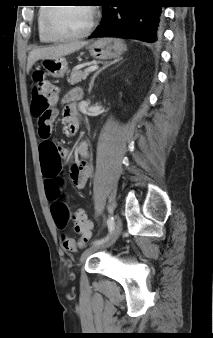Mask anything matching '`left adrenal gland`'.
I'll return each instance as SVG.
<instances>
[{"instance_id":"obj_1","label":"left adrenal gland","mask_w":213,"mask_h":338,"mask_svg":"<svg viewBox=\"0 0 213 338\" xmlns=\"http://www.w3.org/2000/svg\"><path fill=\"white\" fill-rule=\"evenodd\" d=\"M120 60H122V58H118V59H115L114 61L110 62L109 64H105L102 68H100L98 71H96L94 73V75L91 77V80H90V83H89V89H88V92L91 93L92 91V87L94 85V80L95 78L97 77V75L104 69H106L107 67H109L110 65L112 64H115L117 62H119Z\"/></svg>"}]
</instances>
